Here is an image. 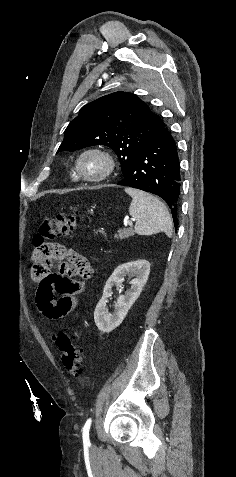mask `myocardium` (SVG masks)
I'll return each mask as SVG.
<instances>
[{"instance_id": "obj_1", "label": "myocardium", "mask_w": 236, "mask_h": 477, "mask_svg": "<svg viewBox=\"0 0 236 477\" xmlns=\"http://www.w3.org/2000/svg\"><path fill=\"white\" fill-rule=\"evenodd\" d=\"M88 155H97L104 160L105 169L101 173H99L97 175H94V176H89V175H86L82 172L81 162ZM114 169H115L114 158L112 157V155L109 152H107L103 149H100V148H88V149L84 150L78 156V158L76 160V163H75L76 176L79 179L84 180L86 182H94V183L95 182H101V181L105 180L106 178H108L113 173Z\"/></svg>"}]
</instances>
